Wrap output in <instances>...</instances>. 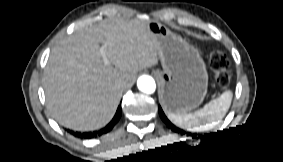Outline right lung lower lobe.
I'll return each instance as SVG.
<instances>
[{
  "label": "right lung lower lobe",
  "mask_w": 283,
  "mask_h": 162,
  "mask_svg": "<svg viewBox=\"0 0 283 162\" xmlns=\"http://www.w3.org/2000/svg\"><path fill=\"white\" fill-rule=\"evenodd\" d=\"M120 116H121V108L118 107L117 112H116L113 120L106 126L105 132H108L109 130H111L113 128L115 123L119 120ZM100 133H103V130H101Z\"/></svg>",
  "instance_id": "1"
}]
</instances>
